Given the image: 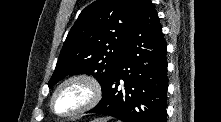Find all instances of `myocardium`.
Wrapping results in <instances>:
<instances>
[{
	"instance_id": "1",
	"label": "myocardium",
	"mask_w": 221,
	"mask_h": 122,
	"mask_svg": "<svg viewBox=\"0 0 221 122\" xmlns=\"http://www.w3.org/2000/svg\"><path fill=\"white\" fill-rule=\"evenodd\" d=\"M72 84H81L87 89L88 92L87 100L81 107H79L74 111L67 113H60L56 111L54 107V101L61 90ZM102 93H103L102 86L94 76L85 73L73 74L63 79L54 89L50 98V109L55 115L59 117L63 118L75 117L94 108L100 102L102 98Z\"/></svg>"
}]
</instances>
